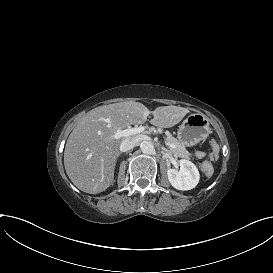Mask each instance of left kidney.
I'll return each instance as SVG.
<instances>
[{"label": "left kidney", "mask_w": 273, "mask_h": 273, "mask_svg": "<svg viewBox=\"0 0 273 273\" xmlns=\"http://www.w3.org/2000/svg\"><path fill=\"white\" fill-rule=\"evenodd\" d=\"M180 170L169 169L167 171L168 180L171 185L178 190H191L199 182L200 175L197 167L189 160L179 161Z\"/></svg>", "instance_id": "obj_1"}]
</instances>
